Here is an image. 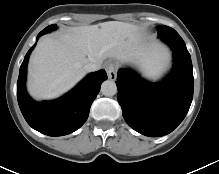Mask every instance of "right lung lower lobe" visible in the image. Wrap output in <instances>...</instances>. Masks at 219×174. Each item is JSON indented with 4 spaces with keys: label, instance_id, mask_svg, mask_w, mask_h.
I'll use <instances>...</instances> for the list:
<instances>
[{
    "label": "right lung lower lobe",
    "instance_id": "1",
    "mask_svg": "<svg viewBox=\"0 0 219 174\" xmlns=\"http://www.w3.org/2000/svg\"><path fill=\"white\" fill-rule=\"evenodd\" d=\"M42 35L39 33V36ZM36 45V44H35ZM27 52L20 67L17 82V99L27 123L38 132L48 136H63L80 128L88 118L92 102L101 83L107 79L104 69L86 76L74 89L55 101L38 103L26 92L25 80L29 55Z\"/></svg>",
    "mask_w": 219,
    "mask_h": 174
}]
</instances>
